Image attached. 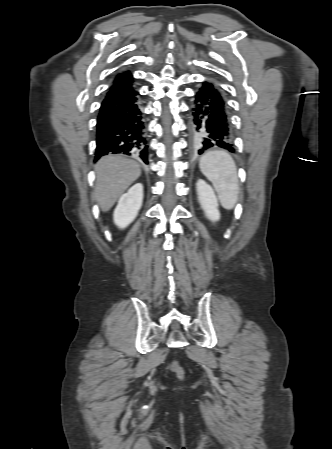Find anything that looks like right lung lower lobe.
Returning <instances> with one entry per match:
<instances>
[{
  "label": "right lung lower lobe",
  "mask_w": 332,
  "mask_h": 449,
  "mask_svg": "<svg viewBox=\"0 0 332 449\" xmlns=\"http://www.w3.org/2000/svg\"><path fill=\"white\" fill-rule=\"evenodd\" d=\"M140 95L134 89L107 94L97 119L95 161L108 154L140 157L148 163V145Z\"/></svg>",
  "instance_id": "right-lung-lower-lobe-1"
}]
</instances>
